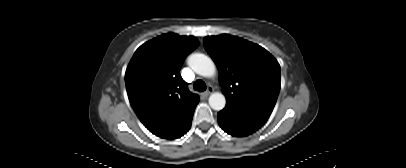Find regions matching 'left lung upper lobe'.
Here are the masks:
<instances>
[{"label":"left lung upper lobe","instance_id":"1","mask_svg":"<svg viewBox=\"0 0 406 168\" xmlns=\"http://www.w3.org/2000/svg\"><path fill=\"white\" fill-rule=\"evenodd\" d=\"M227 104L269 118L280 91V66L261 46L227 34L204 38Z\"/></svg>","mask_w":406,"mask_h":168}]
</instances>
